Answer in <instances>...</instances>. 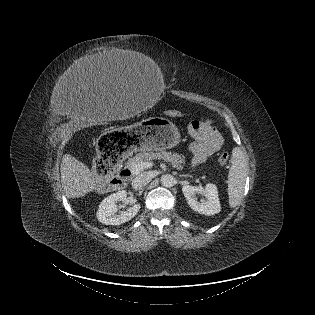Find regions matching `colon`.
I'll return each instance as SVG.
<instances>
[{
    "mask_svg": "<svg viewBox=\"0 0 315 315\" xmlns=\"http://www.w3.org/2000/svg\"><path fill=\"white\" fill-rule=\"evenodd\" d=\"M169 116L178 117L180 112L176 110L169 111ZM229 160L228 152L220 154L218 161L221 165L227 164ZM117 165V159L114 161H107L99 154L94 163V171L103 186H109L115 183V170Z\"/></svg>",
    "mask_w": 315,
    "mask_h": 315,
    "instance_id": "1",
    "label": "colon"
}]
</instances>
